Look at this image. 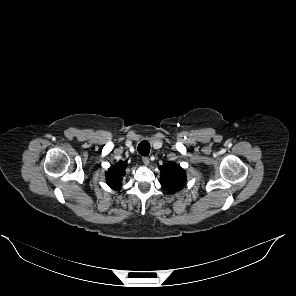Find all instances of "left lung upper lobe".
<instances>
[{"label": "left lung upper lobe", "instance_id": "obj_1", "mask_svg": "<svg viewBox=\"0 0 296 296\" xmlns=\"http://www.w3.org/2000/svg\"><path fill=\"white\" fill-rule=\"evenodd\" d=\"M160 180L164 188L172 193L181 190L186 181L185 171L173 162L164 164L160 167Z\"/></svg>", "mask_w": 296, "mask_h": 296}]
</instances>
